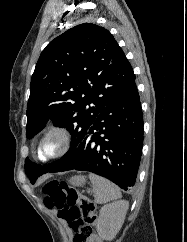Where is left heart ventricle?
Returning a JSON list of instances; mask_svg holds the SVG:
<instances>
[{
    "label": "left heart ventricle",
    "instance_id": "1",
    "mask_svg": "<svg viewBox=\"0 0 187 242\" xmlns=\"http://www.w3.org/2000/svg\"><path fill=\"white\" fill-rule=\"evenodd\" d=\"M60 148V140L56 136L46 139L42 145V151L45 155L55 154Z\"/></svg>",
    "mask_w": 187,
    "mask_h": 242
}]
</instances>
